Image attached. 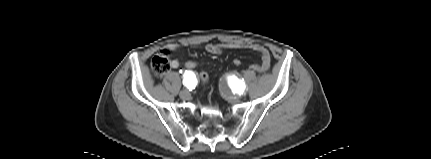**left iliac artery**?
<instances>
[{"label": "left iliac artery", "mask_w": 431, "mask_h": 159, "mask_svg": "<svg viewBox=\"0 0 431 159\" xmlns=\"http://www.w3.org/2000/svg\"><path fill=\"white\" fill-rule=\"evenodd\" d=\"M229 84L231 85L233 92H236L240 95L243 94L246 88V85L243 80L241 81L234 76L230 78Z\"/></svg>", "instance_id": "left-iliac-artery-1"}]
</instances>
